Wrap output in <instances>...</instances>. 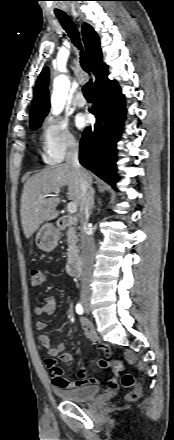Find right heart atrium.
<instances>
[{"label": "right heart atrium", "mask_w": 174, "mask_h": 440, "mask_svg": "<svg viewBox=\"0 0 174 440\" xmlns=\"http://www.w3.org/2000/svg\"><path fill=\"white\" fill-rule=\"evenodd\" d=\"M41 136L43 158L48 164L61 162L78 147V140L67 123L54 116H48L43 121Z\"/></svg>", "instance_id": "1"}]
</instances>
